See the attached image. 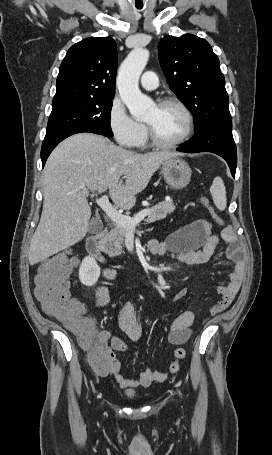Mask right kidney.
I'll return each mask as SVG.
<instances>
[{"label":"right kidney","instance_id":"right-kidney-1","mask_svg":"<svg viewBox=\"0 0 272 455\" xmlns=\"http://www.w3.org/2000/svg\"><path fill=\"white\" fill-rule=\"evenodd\" d=\"M100 276V267L93 257L83 259L79 268V279L86 286H93Z\"/></svg>","mask_w":272,"mask_h":455}]
</instances>
